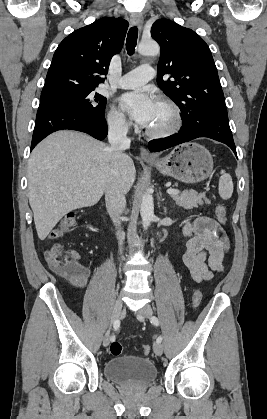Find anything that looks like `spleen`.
Segmentation results:
<instances>
[{"mask_svg": "<svg viewBox=\"0 0 267 419\" xmlns=\"http://www.w3.org/2000/svg\"><path fill=\"white\" fill-rule=\"evenodd\" d=\"M219 195L222 199L227 200L231 198L233 193V181L229 174L224 170L221 171V177L219 179Z\"/></svg>", "mask_w": 267, "mask_h": 419, "instance_id": "obj_1", "label": "spleen"}]
</instances>
